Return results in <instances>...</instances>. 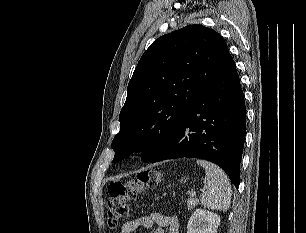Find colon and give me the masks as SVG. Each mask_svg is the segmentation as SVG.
Instances as JSON below:
<instances>
[{"label": "colon", "mask_w": 306, "mask_h": 233, "mask_svg": "<svg viewBox=\"0 0 306 233\" xmlns=\"http://www.w3.org/2000/svg\"><path fill=\"white\" fill-rule=\"evenodd\" d=\"M161 173L147 170L139 173L136 178L127 181H115L108 186L107 222L110 227H117L130 211V202L138 193L147 187L157 185Z\"/></svg>", "instance_id": "colon-1"}]
</instances>
